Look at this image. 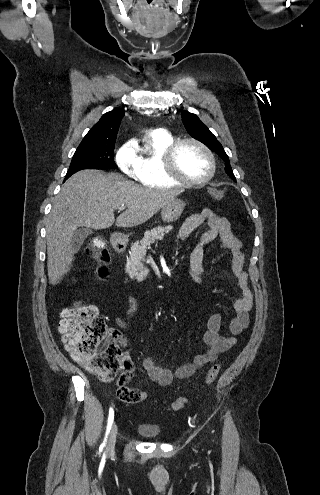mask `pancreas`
Here are the masks:
<instances>
[{
  "label": "pancreas",
  "instance_id": "obj_1",
  "mask_svg": "<svg viewBox=\"0 0 320 495\" xmlns=\"http://www.w3.org/2000/svg\"><path fill=\"white\" fill-rule=\"evenodd\" d=\"M173 227L168 225L166 227H156L151 231H146L144 233V238L141 241L132 243L131 249L129 251V258L127 259L125 271L129 277L139 280V271L144 269L142 261L146 254V250L150 248V245L156 240H161L165 233H169Z\"/></svg>",
  "mask_w": 320,
  "mask_h": 495
}]
</instances>
